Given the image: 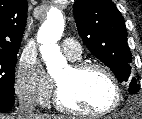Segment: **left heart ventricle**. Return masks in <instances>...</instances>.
<instances>
[{
	"label": "left heart ventricle",
	"mask_w": 142,
	"mask_h": 119,
	"mask_svg": "<svg viewBox=\"0 0 142 119\" xmlns=\"http://www.w3.org/2000/svg\"><path fill=\"white\" fill-rule=\"evenodd\" d=\"M63 101L87 112H98L107 108L114 96L109 79L97 70H90L80 75L66 68L56 76Z\"/></svg>",
	"instance_id": "b2bd125f"
}]
</instances>
